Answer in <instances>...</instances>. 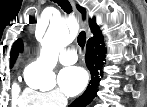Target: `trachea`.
I'll list each match as a JSON object with an SVG mask.
<instances>
[{"label": "trachea", "instance_id": "obj_1", "mask_svg": "<svg viewBox=\"0 0 147 107\" xmlns=\"http://www.w3.org/2000/svg\"><path fill=\"white\" fill-rule=\"evenodd\" d=\"M54 2L57 3L63 9V11L66 12L67 14L72 13V6L68 0H54ZM77 42L81 48H84L86 43V34L84 31H81L79 33L77 37Z\"/></svg>", "mask_w": 147, "mask_h": 107}]
</instances>
